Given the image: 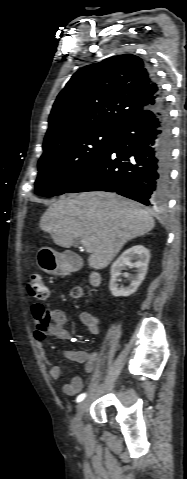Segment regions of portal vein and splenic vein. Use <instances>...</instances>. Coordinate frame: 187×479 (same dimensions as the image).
<instances>
[{"label": "portal vein and splenic vein", "mask_w": 187, "mask_h": 479, "mask_svg": "<svg viewBox=\"0 0 187 479\" xmlns=\"http://www.w3.org/2000/svg\"><path fill=\"white\" fill-rule=\"evenodd\" d=\"M81 245H82L84 248H86V250H87L88 252H90L91 247H90V243H89L88 240L82 239V240H81Z\"/></svg>", "instance_id": "1"}]
</instances>
